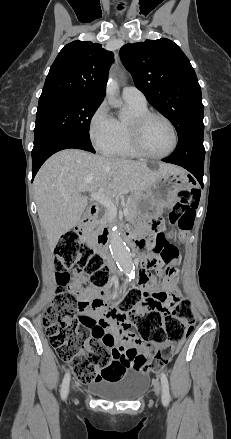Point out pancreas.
<instances>
[{"label":"pancreas","mask_w":231,"mask_h":439,"mask_svg":"<svg viewBox=\"0 0 231 439\" xmlns=\"http://www.w3.org/2000/svg\"><path fill=\"white\" fill-rule=\"evenodd\" d=\"M140 202V195L136 194L130 198H128L124 204V208H128V213L126 215L127 220H132L135 218L138 214V206ZM112 221V216L109 214V212H106L104 216L100 220V224H106L108 222Z\"/></svg>","instance_id":"1"}]
</instances>
